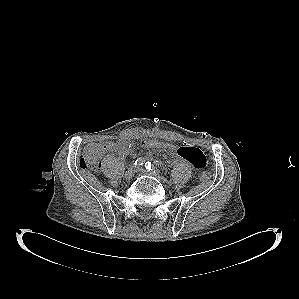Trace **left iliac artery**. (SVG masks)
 I'll list each match as a JSON object with an SVG mask.
<instances>
[{
    "mask_svg": "<svg viewBox=\"0 0 299 299\" xmlns=\"http://www.w3.org/2000/svg\"><path fill=\"white\" fill-rule=\"evenodd\" d=\"M145 167H146V169L149 170V171H150V170H152V171H154V172L156 171L155 167H153V165L151 164V162H146V163H145Z\"/></svg>",
    "mask_w": 299,
    "mask_h": 299,
    "instance_id": "left-iliac-artery-1",
    "label": "left iliac artery"
}]
</instances>
